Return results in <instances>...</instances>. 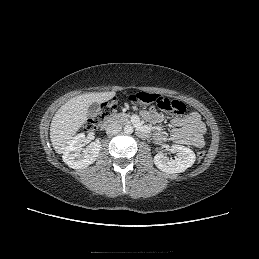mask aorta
<instances>
[{
	"label": "aorta",
	"mask_w": 259,
	"mask_h": 259,
	"mask_svg": "<svg viewBox=\"0 0 259 259\" xmlns=\"http://www.w3.org/2000/svg\"><path fill=\"white\" fill-rule=\"evenodd\" d=\"M124 133L125 134H132L133 133V127L131 125H125Z\"/></svg>",
	"instance_id": "obj_1"
}]
</instances>
